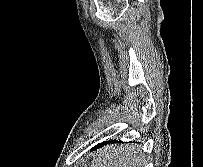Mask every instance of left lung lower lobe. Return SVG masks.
Wrapping results in <instances>:
<instances>
[{
  "instance_id": "1",
  "label": "left lung lower lobe",
  "mask_w": 203,
  "mask_h": 167,
  "mask_svg": "<svg viewBox=\"0 0 203 167\" xmlns=\"http://www.w3.org/2000/svg\"><path fill=\"white\" fill-rule=\"evenodd\" d=\"M107 143H110V142H106V143H103V144H98L96 147L92 148L91 150L97 149L98 147H101V146H103V145H105ZM112 143H113V141H112Z\"/></svg>"
}]
</instances>
